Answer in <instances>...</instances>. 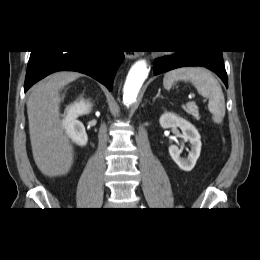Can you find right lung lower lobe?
Instances as JSON below:
<instances>
[{
    "label": "right lung lower lobe",
    "mask_w": 260,
    "mask_h": 260,
    "mask_svg": "<svg viewBox=\"0 0 260 260\" xmlns=\"http://www.w3.org/2000/svg\"><path fill=\"white\" fill-rule=\"evenodd\" d=\"M123 59V51H31L24 91L47 75L60 70L87 74L111 90L115 72Z\"/></svg>",
    "instance_id": "1"
}]
</instances>
